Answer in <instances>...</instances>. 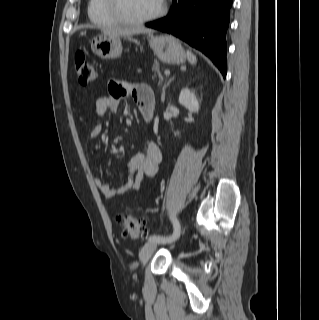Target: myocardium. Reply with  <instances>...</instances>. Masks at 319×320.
Listing matches in <instances>:
<instances>
[{
	"mask_svg": "<svg viewBox=\"0 0 319 320\" xmlns=\"http://www.w3.org/2000/svg\"><path fill=\"white\" fill-rule=\"evenodd\" d=\"M120 2V0H106V9L112 18L122 24L135 25L151 22L162 17L167 9L166 1L162 0L159 9L153 14L146 17L134 18L126 15L123 12L120 6Z\"/></svg>",
	"mask_w": 319,
	"mask_h": 320,
	"instance_id": "obj_1",
	"label": "myocardium"
}]
</instances>
